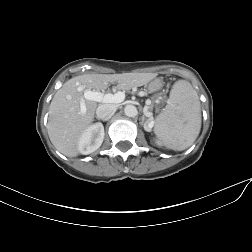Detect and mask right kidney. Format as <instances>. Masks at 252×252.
I'll list each match as a JSON object with an SVG mask.
<instances>
[{"mask_svg":"<svg viewBox=\"0 0 252 252\" xmlns=\"http://www.w3.org/2000/svg\"><path fill=\"white\" fill-rule=\"evenodd\" d=\"M104 126L96 123L86 129L78 141V151L80 154L88 155L96 151L104 139Z\"/></svg>","mask_w":252,"mask_h":252,"instance_id":"obj_1","label":"right kidney"}]
</instances>
